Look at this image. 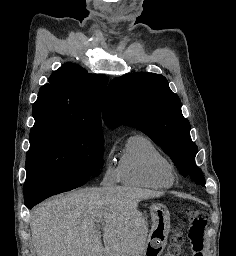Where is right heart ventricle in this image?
I'll list each match as a JSON object with an SVG mask.
<instances>
[{
	"mask_svg": "<svg viewBox=\"0 0 236 256\" xmlns=\"http://www.w3.org/2000/svg\"><path fill=\"white\" fill-rule=\"evenodd\" d=\"M118 169L120 182L129 187L168 189L175 180L169 158L142 134L127 140Z\"/></svg>",
	"mask_w": 236,
	"mask_h": 256,
	"instance_id": "obj_1",
	"label": "right heart ventricle"
}]
</instances>
